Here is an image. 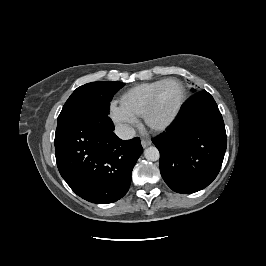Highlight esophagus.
Here are the masks:
<instances>
[{
  "mask_svg": "<svg viewBox=\"0 0 266 266\" xmlns=\"http://www.w3.org/2000/svg\"><path fill=\"white\" fill-rule=\"evenodd\" d=\"M141 145L143 148H146L151 145V140L147 138L141 139Z\"/></svg>",
  "mask_w": 266,
  "mask_h": 266,
  "instance_id": "34e87169",
  "label": "esophagus"
}]
</instances>
